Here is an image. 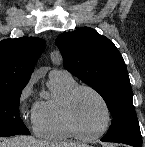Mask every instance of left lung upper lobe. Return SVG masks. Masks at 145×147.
<instances>
[{"mask_svg": "<svg viewBox=\"0 0 145 147\" xmlns=\"http://www.w3.org/2000/svg\"><path fill=\"white\" fill-rule=\"evenodd\" d=\"M56 45L65 69L105 100L113 120L103 138L109 142L142 144L127 68L113 42L96 30L83 27L60 34Z\"/></svg>", "mask_w": 145, "mask_h": 147, "instance_id": "left-lung-upper-lobe-1", "label": "left lung upper lobe"}]
</instances>
